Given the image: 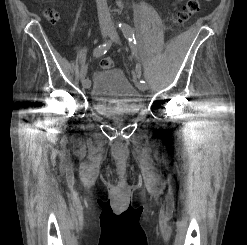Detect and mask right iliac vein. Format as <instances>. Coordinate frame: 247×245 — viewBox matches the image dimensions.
I'll return each mask as SVG.
<instances>
[{
	"instance_id": "right-iliac-vein-1",
	"label": "right iliac vein",
	"mask_w": 247,
	"mask_h": 245,
	"mask_svg": "<svg viewBox=\"0 0 247 245\" xmlns=\"http://www.w3.org/2000/svg\"><path fill=\"white\" fill-rule=\"evenodd\" d=\"M100 31H101L102 37H106L107 35L110 34L111 29L109 27H107V26H102L101 29H100ZM90 84L91 83H90V80L89 79H87L86 81L82 82V86L84 88H89L90 87Z\"/></svg>"
}]
</instances>
